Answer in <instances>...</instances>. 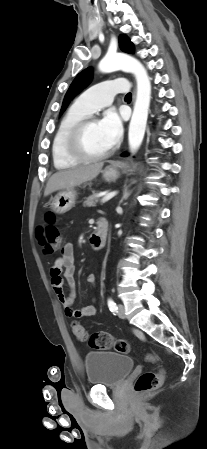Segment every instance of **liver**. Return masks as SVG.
I'll use <instances>...</instances> for the list:
<instances>
[{"instance_id": "obj_1", "label": "liver", "mask_w": 207, "mask_h": 449, "mask_svg": "<svg viewBox=\"0 0 207 449\" xmlns=\"http://www.w3.org/2000/svg\"><path fill=\"white\" fill-rule=\"evenodd\" d=\"M102 167L103 163H97L59 171L50 177L44 196H48L58 190L70 189L92 180L100 173Z\"/></svg>"}]
</instances>
